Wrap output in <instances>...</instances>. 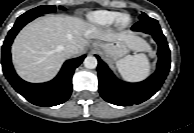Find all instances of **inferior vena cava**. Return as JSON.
<instances>
[{
    "mask_svg": "<svg viewBox=\"0 0 194 133\" xmlns=\"http://www.w3.org/2000/svg\"><path fill=\"white\" fill-rule=\"evenodd\" d=\"M64 51H65L67 56H72L74 54H77L78 49L75 45L69 44L65 47Z\"/></svg>",
    "mask_w": 194,
    "mask_h": 133,
    "instance_id": "1",
    "label": "inferior vena cava"
}]
</instances>
